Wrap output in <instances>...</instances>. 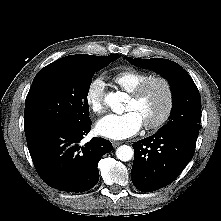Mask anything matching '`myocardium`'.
Segmentation results:
<instances>
[{
  "label": "myocardium",
  "mask_w": 221,
  "mask_h": 221,
  "mask_svg": "<svg viewBox=\"0 0 221 221\" xmlns=\"http://www.w3.org/2000/svg\"><path fill=\"white\" fill-rule=\"evenodd\" d=\"M153 83H160L166 92V106L162 114L153 122L145 123L144 128L147 130H156L162 127L170 118L174 103L175 94L172 83L164 76H150L142 81L132 92H130V98L133 100H139L146 89Z\"/></svg>",
  "instance_id": "myocardium-1"
}]
</instances>
